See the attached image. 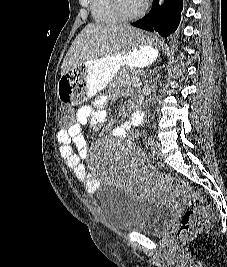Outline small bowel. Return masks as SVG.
<instances>
[{
	"label": "small bowel",
	"instance_id": "small-bowel-1",
	"mask_svg": "<svg viewBox=\"0 0 227 267\" xmlns=\"http://www.w3.org/2000/svg\"><path fill=\"white\" fill-rule=\"evenodd\" d=\"M102 104L103 101H98L96 106H82L78 109L73 124L66 129L58 131L57 134L61 156L64 158L67 166L73 170L75 176L84 184L88 193L96 192L99 181L88 171L86 165L82 162V158L88 154V145L83 135V125L88 122L94 127L101 125L104 119V112L98 109V106ZM142 123L143 115L135 113L126 119L122 126L115 131V135L125 136L131 130H138Z\"/></svg>",
	"mask_w": 227,
	"mask_h": 267
}]
</instances>
